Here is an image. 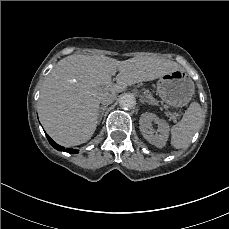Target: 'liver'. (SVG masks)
<instances>
[{"label": "liver", "instance_id": "1", "mask_svg": "<svg viewBox=\"0 0 229 229\" xmlns=\"http://www.w3.org/2000/svg\"><path fill=\"white\" fill-rule=\"evenodd\" d=\"M181 69L171 60L69 55L57 62L42 84L37 111L42 126L58 144L70 147L89 141L98 124L99 104H111L128 86ZM116 73V84L108 85Z\"/></svg>", "mask_w": 229, "mask_h": 229}]
</instances>
